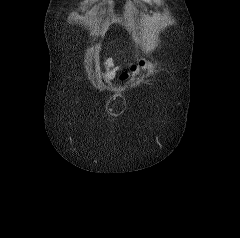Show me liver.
Returning a JSON list of instances; mask_svg holds the SVG:
<instances>
[{"instance_id": "obj_1", "label": "liver", "mask_w": 240, "mask_h": 238, "mask_svg": "<svg viewBox=\"0 0 240 238\" xmlns=\"http://www.w3.org/2000/svg\"><path fill=\"white\" fill-rule=\"evenodd\" d=\"M106 66V73H105V79L106 81H109L115 77L116 71L119 69L118 67L114 68L113 60L112 58H109L105 61ZM110 68H113L110 70Z\"/></svg>"}]
</instances>
